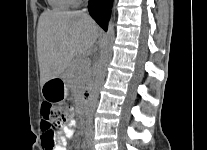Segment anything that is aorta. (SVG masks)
Here are the masks:
<instances>
[{
  "mask_svg": "<svg viewBox=\"0 0 207 150\" xmlns=\"http://www.w3.org/2000/svg\"><path fill=\"white\" fill-rule=\"evenodd\" d=\"M113 41H114V23H113V18L111 17L108 24V30L104 37L100 59L98 61L96 72H95V78L92 83L91 95H90V100L92 104H95L97 102L99 92L104 83L106 67L112 55Z\"/></svg>",
  "mask_w": 207,
  "mask_h": 150,
  "instance_id": "762f6f07",
  "label": "aorta"
}]
</instances>
